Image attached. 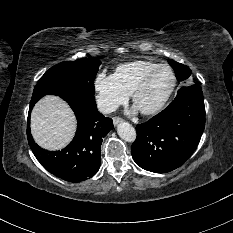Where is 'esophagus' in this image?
<instances>
[{"mask_svg":"<svg viewBox=\"0 0 233 233\" xmlns=\"http://www.w3.org/2000/svg\"><path fill=\"white\" fill-rule=\"evenodd\" d=\"M121 122H122V118H120V117H114L113 118V123H114L115 126L118 125Z\"/></svg>","mask_w":233,"mask_h":233,"instance_id":"esophagus-1","label":"esophagus"}]
</instances>
